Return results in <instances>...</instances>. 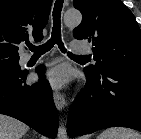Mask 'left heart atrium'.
<instances>
[{"instance_id":"left-heart-atrium-1","label":"left heart atrium","mask_w":141,"mask_h":139,"mask_svg":"<svg viewBox=\"0 0 141 139\" xmlns=\"http://www.w3.org/2000/svg\"><path fill=\"white\" fill-rule=\"evenodd\" d=\"M68 77V70L64 66H56L51 68L43 76V78L53 88L63 87L67 83Z\"/></svg>"}]
</instances>
